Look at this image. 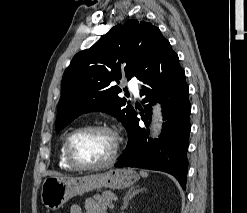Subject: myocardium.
I'll return each mask as SVG.
<instances>
[{
  "label": "myocardium",
  "mask_w": 247,
  "mask_h": 213,
  "mask_svg": "<svg viewBox=\"0 0 247 213\" xmlns=\"http://www.w3.org/2000/svg\"><path fill=\"white\" fill-rule=\"evenodd\" d=\"M97 131L108 132L114 136L115 145H114L113 152L107 160L100 162V163L82 162L76 157L74 153L75 139L82 134L89 133V132H97ZM64 150H65V157H66L67 162L74 168L79 169V170L101 169V168H105V167L112 165L117 160L119 151H120V139L118 135L116 134V132L112 128L108 127L107 125H102V124L87 125V126H83V127L73 130L67 136L66 141H65Z\"/></svg>",
  "instance_id": "obj_1"
}]
</instances>
